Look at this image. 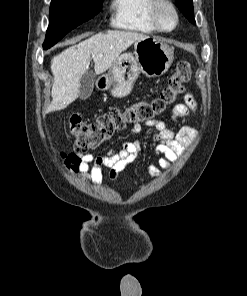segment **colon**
Returning a JSON list of instances; mask_svg holds the SVG:
<instances>
[{"label": "colon", "instance_id": "colon-1", "mask_svg": "<svg viewBox=\"0 0 247 296\" xmlns=\"http://www.w3.org/2000/svg\"><path fill=\"white\" fill-rule=\"evenodd\" d=\"M190 76V64L187 61H181L175 72L168 78L165 87L150 101H139L124 109L111 108L94 122L84 121L78 113L72 114L69 119V132L74 140V152L64 154V162L68 170L76 172L81 155L98 148L129 124L161 114L184 92Z\"/></svg>", "mask_w": 247, "mask_h": 296}]
</instances>
